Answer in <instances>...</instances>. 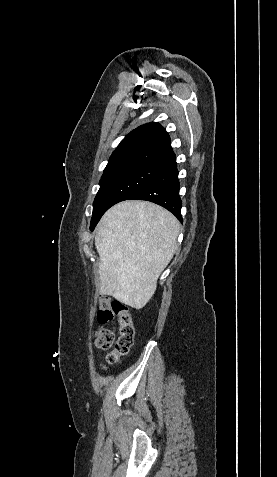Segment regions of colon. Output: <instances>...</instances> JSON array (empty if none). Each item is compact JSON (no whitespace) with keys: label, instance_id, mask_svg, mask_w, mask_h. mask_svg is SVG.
Returning <instances> with one entry per match:
<instances>
[{"label":"colon","instance_id":"colon-1","mask_svg":"<svg viewBox=\"0 0 277 477\" xmlns=\"http://www.w3.org/2000/svg\"><path fill=\"white\" fill-rule=\"evenodd\" d=\"M113 320H117L119 323L118 338H116L114 328H99L93 334L97 348L101 350L111 349L107 356L109 364L118 363L121 358L129 353L134 340V327L127 305L106 296L101 297L97 314L98 323L105 325Z\"/></svg>","mask_w":277,"mask_h":477}]
</instances>
